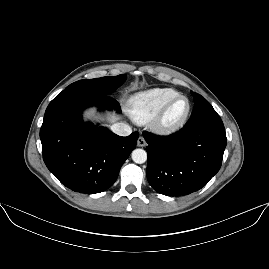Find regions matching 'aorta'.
Instances as JSON below:
<instances>
[{
    "label": "aorta",
    "mask_w": 269,
    "mask_h": 269,
    "mask_svg": "<svg viewBox=\"0 0 269 269\" xmlns=\"http://www.w3.org/2000/svg\"><path fill=\"white\" fill-rule=\"evenodd\" d=\"M132 160L137 164H143L147 161V153L143 149H136L132 152Z\"/></svg>",
    "instance_id": "obj_1"
}]
</instances>
